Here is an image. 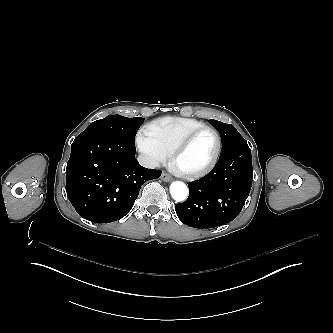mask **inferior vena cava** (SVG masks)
Segmentation results:
<instances>
[{
  "label": "inferior vena cava",
  "instance_id": "602c4592",
  "mask_svg": "<svg viewBox=\"0 0 333 333\" xmlns=\"http://www.w3.org/2000/svg\"><path fill=\"white\" fill-rule=\"evenodd\" d=\"M137 160L143 167H146V168H155V167H158V165H159V163L155 159H153L145 154H140L138 156Z\"/></svg>",
  "mask_w": 333,
  "mask_h": 333
}]
</instances>
